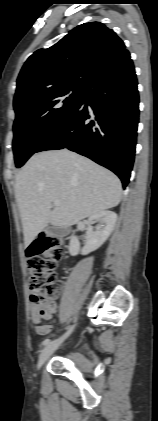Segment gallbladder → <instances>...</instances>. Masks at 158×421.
<instances>
[{
    "mask_svg": "<svg viewBox=\"0 0 158 421\" xmlns=\"http://www.w3.org/2000/svg\"><path fill=\"white\" fill-rule=\"evenodd\" d=\"M47 233L56 237H63L66 233V230L61 227L48 226Z\"/></svg>",
    "mask_w": 158,
    "mask_h": 421,
    "instance_id": "1",
    "label": "gallbladder"
}]
</instances>
